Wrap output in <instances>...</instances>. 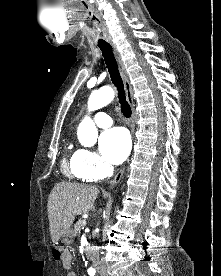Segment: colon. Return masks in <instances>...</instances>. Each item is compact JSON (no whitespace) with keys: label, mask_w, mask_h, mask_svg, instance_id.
<instances>
[{"label":"colon","mask_w":221,"mask_h":276,"mask_svg":"<svg viewBox=\"0 0 221 276\" xmlns=\"http://www.w3.org/2000/svg\"><path fill=\"white\" fill-rule=\"evenodd\" d=\"M63 251H65V246H54L53 256L56 260H60L63 257Z\"/></svg>","instance_id":"5ec220e1"}]
</instances>
